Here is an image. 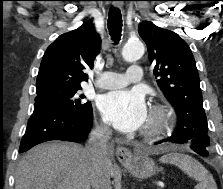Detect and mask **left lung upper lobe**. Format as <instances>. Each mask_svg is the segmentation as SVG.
Returning <instances> with one entry per match:
<instances>
[{
  "label": "left lung upper lobe",
  "mask_w": 223,
  "mask_h": 189,
  "mask_svg": "<svg viewBox=\"0 0 223 189\" xmlns=\"http://www.w3.org/2000/svg\"><path fill=\"white\" fill-rule=\"evenodd\" d=\"M139 35L147 45L157 83L177 113L178 125L169 139L208 148L199 74L188 44L175 32L150 21L139 25Z\"/></svg>",
  "instance_id": "obj_1"
}]
</instances>
